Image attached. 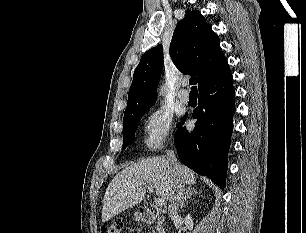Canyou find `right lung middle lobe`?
Returning <instances> with one entry per match:
<instances>
[{"label": "right lung middle lobe", "instance_id": "dd1d6c3e", "mask_svg": "<svg viewBox=\"0 0 306 233\" xmlns=\"http://www.w3.org/2000/svg\"><path fill=\"white\" fill-rule=\"evenodd\" d=\"M151 106L141 109L133 114L125 116L123 119V149L134 142L135 131L139 120L149 110Z\"/></svg>", "mask_w": 306, "mask_h": 233}]
</instances>
